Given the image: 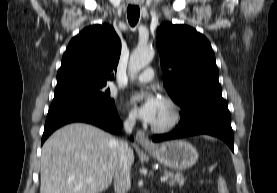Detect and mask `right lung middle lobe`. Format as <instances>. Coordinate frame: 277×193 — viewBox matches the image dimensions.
<instances>
[{
    "mask_svg": "<svg viewBox=\"0 0 277 193\" xmlns=\"http://www.w3.org/2000/svg\"><path fill=\"white\" fill-rule=\"evenodd\" d=\"M54 98L76 99L98 104L103 107H114V100L110 98V90L105 85L78 88L55 93Z\"/></svg>",
    "mask_w": 277,
    "mask_h": 193,
    "instance_id": "dd1d6c3e",
    "label": "right lung middle lobe"
}]
</instances>
